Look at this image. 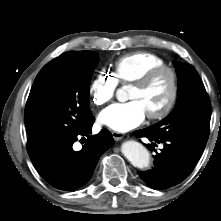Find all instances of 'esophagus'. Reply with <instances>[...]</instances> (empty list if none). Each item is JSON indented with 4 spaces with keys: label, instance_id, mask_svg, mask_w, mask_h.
<instances>
[{
    "label": "esophagus",
    "instance_id": "34e87169",
    "mask_svg": "<svg viewBox=\"0 0 221 221\" xmlns=\"http://www.w3.org/2000/svg\"><path fill=\"white\" fill-rule=\"evenodd\" d=\"M112 137L114 138V140L119 141L124 137V134L120 133V132L113 131Z\"/></svg>",
    "mask_w": 221,
    "mask_h": 221
}]
</instances>
